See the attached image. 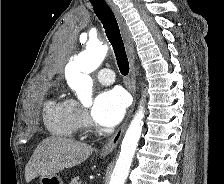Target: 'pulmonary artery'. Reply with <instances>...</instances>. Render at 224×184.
Returning <instances> with one entry per match:
<instances>
[{"label":"pulmonary artery","mask_w":224,"mask_h":184,"mask_svg":"<svg viewBox=\"0 0 224 184\" xmlns=\"http://www.w3.org/2000/svg\"><path fill=\"white\" fill-rule=\"evenodd\" d=\"M98 81L103 85L112 84L115 81V74L112 70L104 68L97 72Z\"/></svg>","instance_id":"1"}]
</instances>
